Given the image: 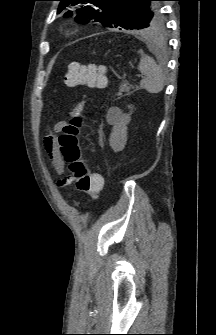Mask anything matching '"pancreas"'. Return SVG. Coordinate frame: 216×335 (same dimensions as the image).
<instances>
[{
	"label": "pancreas",
	"mask_w": 216,
	"mask_h": 335,
	"mask_svg": "<svg viewBox=\"0 0 216 335\" xmlns=\"http://www.w3.org/2000/svg\"><path fill=\"white\" fill-rule=\"evenodd\" d=\"M130 88H134V87L130 85L128 82L121 83L119 87L118 95L121 97L122 93H126L125 95L131 94L132 92H130Z\"/></svg>",
	"instance_id": "1"
}]
</instances>
